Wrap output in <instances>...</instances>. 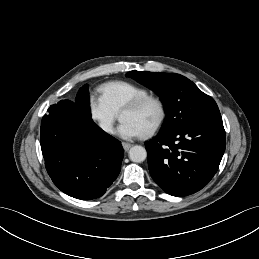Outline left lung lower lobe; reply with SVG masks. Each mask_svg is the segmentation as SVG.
<instances>
[{"mask_svg": "<svg viewBox=\"0 0 259 259\" xmlns=\"http://www.w3.org/2000/svg\"><path fill=\"white\" fill-rule=\"evenodd\" d=\"M225 145L222 119L159 133L145 143L150 174L172 196L193 194L217 172Z\"/></svg>", "mask_w": 259, "mask_h": 259, "instance_id": "obj_1", "label": "left lung lower lobe"}]
</instances>
